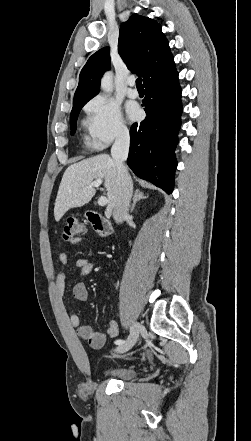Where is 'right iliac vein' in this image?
<instances>
[{
    "label": "right iliac vein",
    "mask_w": 251,
    "mask_h": 441,
    "mask_svg": "<svg viewBox=\"0 0 251 441\" xmlns=\"http://www.w3.org/2000/svg\"><path fill=\"white\" fill-rule=\"evenodd\" d=\"M141 331V325L138 322H133L130 328V335L127 340L116 348L118 353H124L130 350L138 340L139 333Z\"/></svg>",
    "instance_id": "63e3f726"
}]
</instances>
